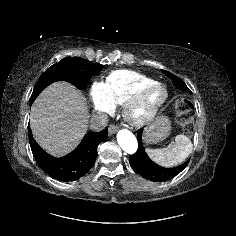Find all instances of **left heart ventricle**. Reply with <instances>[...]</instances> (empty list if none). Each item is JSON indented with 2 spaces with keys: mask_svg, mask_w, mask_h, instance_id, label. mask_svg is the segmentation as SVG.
<instances>
[{
  "mask_svg": "<svg viewBox=\"0 0 236 236\" xmlns=\"http://www.w3.org/2000/svg\"><path fill=\"white\" fill-rule=\"evenodd\" d=\"M160 95H161V92H160V91H158V90L154 91V92L150 95L149 99L146 101L145 104L151 103L152 101H154L155 99H157ZM143 110H144V107L141 108L139 111L141 112V111H143Z\"/></svg>",
  "mask_w": 236,
  "mask_h": 236,
  "instance_id": "obj_1",
  "label": "left heart ventricle"
}]
</instances>
